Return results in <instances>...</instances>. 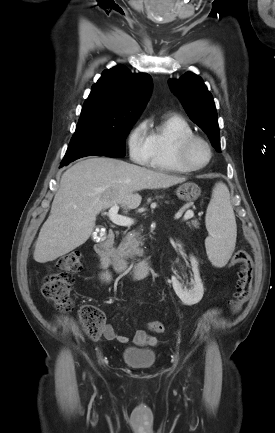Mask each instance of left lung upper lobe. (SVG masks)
Here are the masks:
<instances>
[{
    "label": "left lung upper lobe",
    "mask_w": 275,
    "mask_h": 433,
    "mask_svg": "<svg viewBox=\"0 0 275 433\" xmlns=\"http://www.w3.org/2000/svg\"><path fill=\"white\" fill-rule=\"evenodd\" d=\"M168 84L180 99L190 119L207 134L213 147L220 152L215 103L202 79L188 72L179 80H169Z\"/></svg>",
    "instance_id": "obj_1"
}]
</instances>
